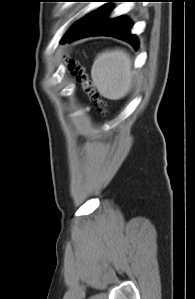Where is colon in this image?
Returning a JSON list of instances; mask_svg holds the SVG:
<instances>
[{"mask_svg": "<svg viewBox=\"0 0 195 299\" xmlns=\"http://www.w3.org/2000/svg\"><path fill=\"white\" fill-rule=\"evenodd\" d=\"M69 70L75 75L77 80L82 84L85 92L96 100V105L100 110L105 109V103L97 98L94 86L86 74L84 68L76 61L69 62Z\"/></svg>", "mask_w": 195, "mask_h": 299, "instance_id": "5ec220e1", "label": "colon"}]
</instances>
